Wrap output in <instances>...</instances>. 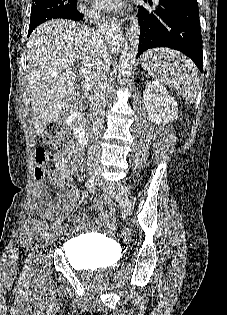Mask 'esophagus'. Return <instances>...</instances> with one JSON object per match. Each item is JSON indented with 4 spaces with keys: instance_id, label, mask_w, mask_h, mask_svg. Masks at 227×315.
<instances>
[{
    "instance_id": "esophagus-1",
    "label": "esophagus",
    "mask_w": 227,
    "mask_h": 315,
    "mask_svg": "<svg viewBox=\"0 0 227 315\" xmlns=\"http://www.w3.org/2000/svg\"><path fill=\"white\" fill-rule=\"evenodd\" d=\"M111 23H112L113 25H115L116 28H119V27H120V22H118L117 20H114V19H113V20L111 21ZM101 28H102V26H101Z\"/></svg>"
}]
</instances>
